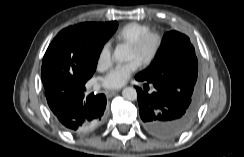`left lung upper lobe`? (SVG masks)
Returning <instances> with one entry per match:
<instances>
[{"label": "left lung upper lobe", "instance_id": "obj_1", "mask_svg": "<svg viewBox=\"0 0 244 157\" xmlns=\"http://www.w3.org/2000/svg\"><path fill=\"white\" fill-rule=\"evenodd\" d=\"M138 77L157 81L180 100L189 101L198 109L202 96V82L198 76V61L190 39L177 31L164 35L160 54Z\"/></svg>", "mask_w": 244, "mask_h": 157}]
</instances>
